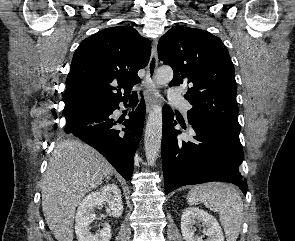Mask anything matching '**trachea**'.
<instances>
[{
    "instance_id": "3493384b",
    "label": "trachea",
    "mask_w": 295,
    "mask_h": 241,
    "mask_svg": "<svg viewBox=\"0 0 295 241\" xmlns=\"http://www.w3.org/2000/svg\"><path fill=\"white\" fill-rule=\"evenodd\" d=\"M132 99H133V100H136V99H137V95H136V93H134V92L132 93Z\"/></svg>"
}]
</instances>
